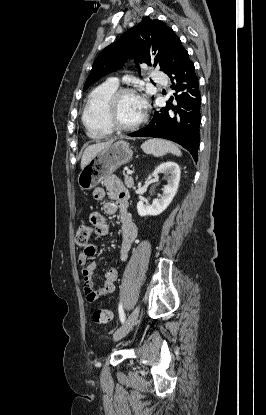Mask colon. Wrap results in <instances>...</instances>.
Returning <instances> with one entry per match:
<instances>
[{
  "label": "colon",
  "mask_w": 266,
  "mask_h": 415,
  "mask_svg": "<svg viewBox=\"0 0 266 415\" xmlns=\"http://www.w3.org/2000/svg\"><path fill=\"white\" fill-rule=\"evenodd\" d=\"M94 233V228L87 223H82L76 230V244L81 247L88 245ZM92 318L96 323L107 324L112 318V313L108 309H95Z\"/></svg>",
  "instance_id": "obj_1"
}]
</instances>
